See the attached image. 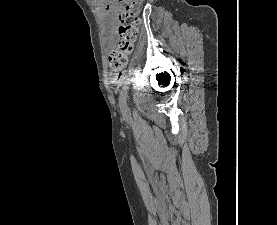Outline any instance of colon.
<instances>
[{"label": "colon", "instance_id": "obj_1", "mask_svg": "<svg viewBox=\"0 0 277 225\" xmlns=\"http://www.w3.org/2000/svg\"><path fill=\"white\" fill-rule=\"evenodd\" d=\"M123 1L124 10L119 14V41L116 49L110 53L108 59L114 79H120L123 76L129 57L133 53L140 23L139 13L142 7V0Z\"/></svg>", "mask_w": 277, "mask_h": 225}]
</instances>
